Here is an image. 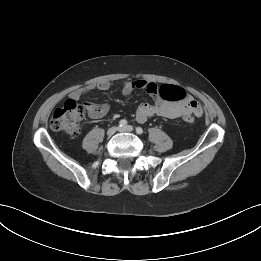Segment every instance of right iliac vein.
Returning <instances> with one entry per match:
<instances>
[{
	"instance_id": "obj_1",
	"label": "right iliac vein",
	"mask_w": 261,
	"mask_h": 261,
	"mask_svg": "<svg viewBox=\"0 0 261 261\" xmlns=\"http://www.w3.org/2000/svg\"><path fill=\"white\" fill-rule=\"evenodd\" d=\"M117 130H119V127H115V126L111 127V128L108 129L107 135L108 136H112V135H114L116 133Z\"/></svg>"
}]
</instances>
